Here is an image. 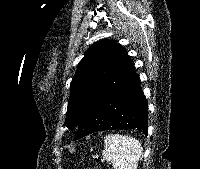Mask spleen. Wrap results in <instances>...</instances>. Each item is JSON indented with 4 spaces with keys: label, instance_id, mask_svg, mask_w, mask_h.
Wrapping results in <instances>:
<instances>
[{
    "label": "spleen",
    "instance_id": "1",
    "mask_svg": "<svg viewBox=\"0 0 200 169\" xmlns=\"http://www.w3.org/2000/svg\"><path fill=\"white\" fill-rule=\"evenodd\" d=\"M104 158L114 169H137L142 154L141 143L130 136L109 134L104 137Z\"/></svg>",
    "mask_w": 200,
    "mask_h": 169
}]
</instances>
